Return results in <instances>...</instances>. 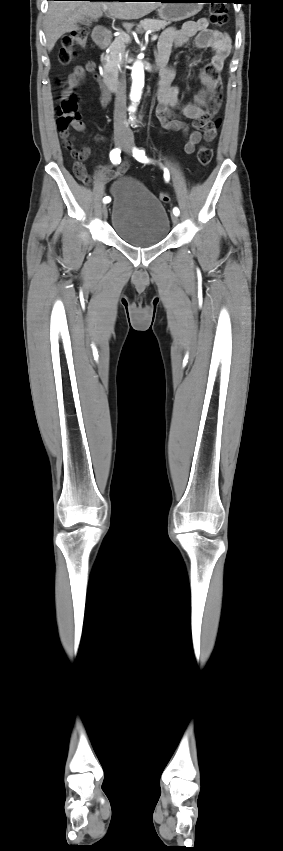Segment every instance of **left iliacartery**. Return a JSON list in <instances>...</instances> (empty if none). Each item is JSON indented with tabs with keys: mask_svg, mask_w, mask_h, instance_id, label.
I'll return each instance as SVG.
<instances>
[{
	"mask_svg": "<svg viewBox=\"0 0 283 851\" xmlns=\"http://www.w3.org/2000/svg\"><path fill=\"white\" fill-rule=\"evenodd\" d=\"M133 156H134V157H135V159H136V160H138L139 162H143V163H148V162H149V159L146 157V155H145V151H144V150H140V149L134 148V149H133ZM164 178H165V180H166V181H168V180H169V178H170L169 171H168L166 168H164ZM173 213H174V215H177V216H178V215H179V213H180V211H179V209H178L177 207H175V208L173 209Z\"/></svg>",
	"mask_w": 283,
	"mask_h": 851,
	"instance_id": "44dca946",
	"label": "left iliac artery"
}]
</instances>
